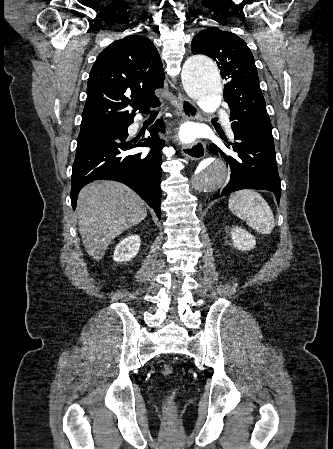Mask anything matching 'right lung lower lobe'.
<instances>
[{
  "mask_svg": "<svg viewBox=\"0 0 333 449\" xmlns=\"http://www.w3.org/2000/svg\"><path fill=\"white\" fill-rule=\"evenodd\" d=\"M157 101L152 107L159 106ZM149 112V107L141 113ZM133 118L114 127L80 132L73 164L71 204L76 208L79 191L88 183L98 180H116L137 192L161 218V150L164 146L158 132L163 130L162 120H157L148 131L150 137L137 144L127 140L128 127ZM136 147H150L147 154L136 153Z\"/></svg>",
  "mask_w": 333,
  "mask_h": 449,
  "instance_id": "obj_1",
  "label": "right lung lower lobe"
}]
</instances>
